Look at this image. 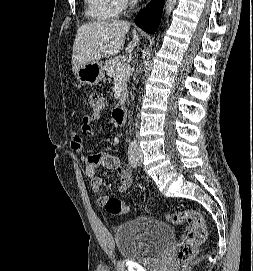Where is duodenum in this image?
Wrapping results in <instances>:
<instances>
[{"mask_svg": "<svg viewBox=\"0 0 253 271\" xmlns=\"http://www.w3.org/2000/svg\"><path fill=\"white\" fill-rule=\"evenodd\" d=\"M113 119L117 125L122 126L126 120V109L122 106L117 107L113 112Z\"/></svg>", "mask_w": 253, "mask_h": 271, "instance_id": "1", "label": "duodenum"}]
</instances>
